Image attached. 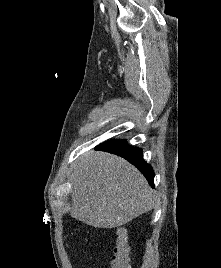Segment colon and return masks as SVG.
<instances>
[{"label": "colon", "mask_w": 221, "mask_h": 268, "mask_svg": "<svg viewBox=\"0 0 221 268\" xmlns=\"http://www.w3.org/2000/svg\"><path fill=\"white\" fill-rule=\"evenodd\" d=\"M117 241L109 268H128V235L123 227L116 230Z\"/></svg>", "instance_id": "colon-1"}]
</instances>
